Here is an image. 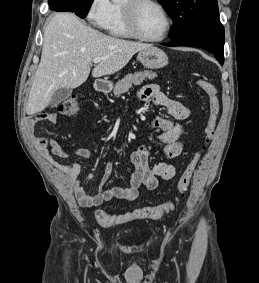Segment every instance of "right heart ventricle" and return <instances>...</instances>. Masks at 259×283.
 I'll return each mask as SVG.
<instances>
[{"label":"right heart ventricle","instance_id":"obj_1","mask_svg":"<svg viewBox=\"0 0 259 283\" xmlns=\"http://www.w3.org/2000/svg\"><path fill=\"white\" fill-rule=\"evenodd\" d=\"M103 28L116 37L129 38L133 36L127 28L122 3L113 0L109 17Z\"/></svg>","mask_w":259,"mask_h":283}]
</instances>
